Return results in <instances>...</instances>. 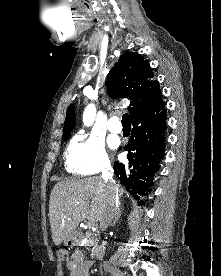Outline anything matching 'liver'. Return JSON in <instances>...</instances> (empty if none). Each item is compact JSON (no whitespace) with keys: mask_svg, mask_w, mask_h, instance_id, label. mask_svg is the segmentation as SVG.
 Listing matches in <instances>:
<instances>
[{"mask_svg":"<svg viewBox=\"0 0 221 276\" xmlns=\"http://www.w3.org/2000/svg\"><path fill=\"white\" fill-rule=\"evenodd\" d=\"M109 186L110 183L98 176L60 181L54 186L49 201V219L55 245L67 239L85 219L92 224L100 220ZM115 186L122 196L124 188Z\"/></svg>","mask_w":221,"mask_h":276,"instance_id":"liver-1","label":"liver"}]
</instances>
